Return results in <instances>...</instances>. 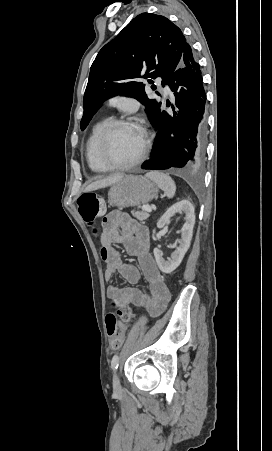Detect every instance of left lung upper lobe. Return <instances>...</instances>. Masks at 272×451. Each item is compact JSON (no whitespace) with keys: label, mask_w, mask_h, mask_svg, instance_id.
Here are the masks:
<instances>
[{"label":"left lung upper lobe","mask_w":272,"mask_h":451,"mask_svg":"<svg viewBox=\"0 0 272 451\" xmlns=\"http://www.w3.org/2000/svg\"><path fill=\"white\" fill-rule=\"evenodd\" d=\"M187 44L181 30L166 17L149 13L135 17L99 51L91 66L81 130L102 102L116 95L139 100L146 106L151 124L156 125L161 103L147 98L145 85L138 78L161 77V83L168 84ZM141 72L145 74L141 76Z\"/></svg>","instance_id":"1"}]
</instances>
